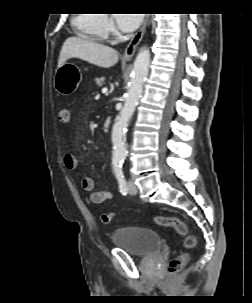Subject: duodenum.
I'll list each match as a JSON object with an SVG mask.
<instances>
[{"instance_id":"1","label":"duodenum","mask_w":252,"mask_h":303,"mask_svg":"<svg viewBox=\"0 0 252 303\" xmlns=\"http://www.w3.org/2000/svg\"><path fill=\"white\" fill-rule=\"evenodd\" d=\"M110 125H111V119L110 117H107L101 126L102 131L106 132L109 129Z\"/></svg>"}]
</instances>
